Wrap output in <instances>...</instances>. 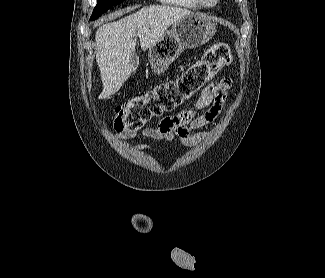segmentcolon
<instances>
[{
    "mask_svg": "<svg viewBox=\"0 0 325 278\" xmlns=\"http://www.w3.org/2000/svg\"><path fill=\"white\" fill-rule=\"evenodd\" d=\"M232 62L233 56L226 43L213 45L179 77L158 84L144 94L117 105L115 130H139L151 119L176 109Z\"/></svg>",
    "mask_w": 325,
    "mask_h": 278,
    "instance_id": "colon-1",
    "label": "colon"
}]
</instances>
